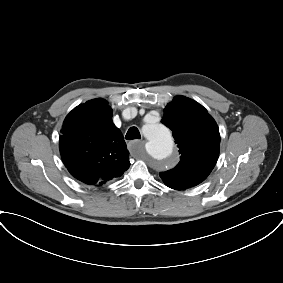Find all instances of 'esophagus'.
<instances>
[{
  "mask_svg": "<svg viewBox=\"0 0 283 283\" xmlns=\"http://www.w3.org/2000/svg\"><path fill=\"white\" fill-rule=\"evenodd\" d=\"M143 144H144V141H138V140L130 141L128 143V149L130 151H138Z\"/></svg>",
  "mask_w": 283,
  "mask_h": 283,
  "instance_id": "34e87169",
  "label": "esophagus"
}]
</instances>
